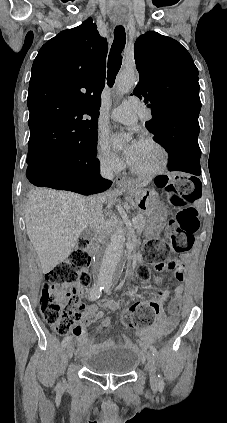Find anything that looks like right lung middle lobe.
Returning a JSON list of instances; mask_svg holds the SVG:
<instances>
[{"label": "right lung middle lobe", "mask_w": 227, "mask_h": 423, "mask_svg": "<svg viewBox=\"0 0 227 423\" xmlns=\"http://www.w3.org/2000/svg\"><path fill=\"white\" fill-rule=\"evenodd\" d=\"M48 152L69 158L97 153V132L85 137L84 139L75 144ZM46 153L47 152L28 155L27 164L40 160Z\"/></svg>", "instance_id": "obj_1"}]
</instances>
